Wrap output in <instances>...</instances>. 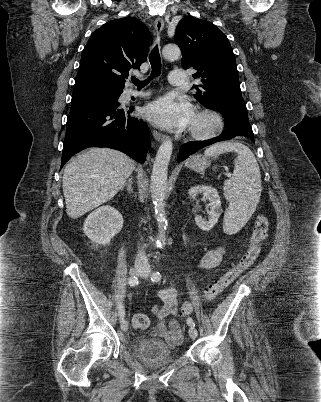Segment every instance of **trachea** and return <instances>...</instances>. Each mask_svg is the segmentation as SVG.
Masks as SVG:
<instances>
[{
	"mask_svg": "<svg viewBox=\"0 0 321 402\" xmlns=\"http://www.w3.org/2000/svg\"><path fill=\"white\" fill-rule=\"evenodd\" d=\"M149 60H150V64H151V74L150 76L144 80V81H140L136 78L132 79V82L138 87V88H143L144 86H146L153 78L158 77L161 73V58H160V54H159V50H158V45H156L149 56Z\"/></svg>",
	"mask_w": 321,
	"mask_h": 402,
	"instance_id": "obj_1",
	"label": "trachea"
}]
</instances>
